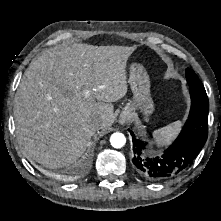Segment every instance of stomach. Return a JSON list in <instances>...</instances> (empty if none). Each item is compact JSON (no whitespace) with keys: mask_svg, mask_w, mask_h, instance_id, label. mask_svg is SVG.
Instances as JSON below:
<instances>
[{"mask_svg":"<svg viewBox=\"0 0 221 221\" xmlns=\"http://www.w3.org/2000/svg\"><path fill=\"white\" fill-rule=\"evenodd\" d=\"M133 100H131L122 110L120 120L123 121L136 110H140L145 115V121L154 111V103L150 95V79L145 68L140 64H133L130 67L129 80Z\"/></svg>","mask_w":221,"mask_h":221,"instance_id":"0dacf381","label":"stomach"}]
</instances>
